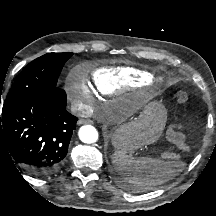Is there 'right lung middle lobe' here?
Wrapping results in <instances>:
<instances>
[{
  "instance_id": "obj_1",
  "label": "right lung middle lobe",
  "mask_w": 216,
  "mask_h": 216,
  "mask_svg": "<svg viewBox=\"0 0 216 216\" xmlns=\"http://www.w3.org/2000/svg\"><path fill=\"white\" fill-rule=\"evenodd\" d=\"M72 55V53H48L29 63L15 79L5 99L3 110L31 96L57 88L62 67Z\"/></svg>"
}]
</instances>
